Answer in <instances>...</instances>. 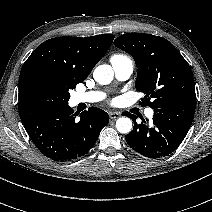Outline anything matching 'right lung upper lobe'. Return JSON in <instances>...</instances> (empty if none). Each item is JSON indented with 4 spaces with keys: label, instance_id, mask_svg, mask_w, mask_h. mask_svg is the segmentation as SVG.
<instances>
[{
    "label": "right lung upper lobe",
    "instance_id": "right-lung-upper-lobe-1",
    "mask_svg": "<svg viewBox=\"0 0 212 212\" xmlns=\"http://www.w3.org/2000/svg\"><path fill=\"white\" fill-rule=\"evenodd\" d=\"M114 35L91 37H56L39 45L22 66L19 93L26 81L35 75H49L60 81L82 83L105 55Z\"/></svg>",
    "mask_w": 212,
    "mask_h": 212
}]
</instances>
